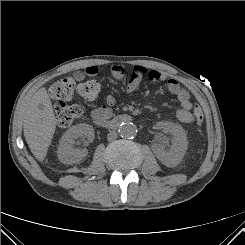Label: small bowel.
<instances>
[{
  "label": "small bowel",
  "instance_id": "small-bowel-1",
  "mask_svg": "<svg viewBox=\"0 0 245 245\" xmlns=\"http://www.w3.org/2000/svg\"><path fill=\"white\" fill-rule=\"evenodd\" d=\"M98 67L95 65H89L85 68H80L75 71L74 77L76 80L81 81L86 76H94L98 73ZM110 74L113 78L121 80L126 75V69L120 65H111ZM144 77L154 82H162L166 85L169 92L173 94L179 102V109L176 112L177 119L182 123H192L195 121V116L192 112L193 104L190 100L189 92L182 88L180 84L166 74L151 70L141 65H134L131 68L129 78L126 84V91L131 93L135 91ZM116 103V98L113 94H109L106 97V105L94 108L90 115L93 121L96 123L100 119H109L112 115V106Z\"/></svg>",
  "mask_w": 245,
  "mask_h": 245
}]
</instances>
